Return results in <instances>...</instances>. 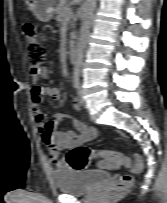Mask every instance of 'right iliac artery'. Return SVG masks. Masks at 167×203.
<instances>
[{"mask_svg":"<svg viewBox=\"0 0 167 203\" xmlns=\"http://www.w3.org/2000/svg\"><path fill=\"white\" fill-rule=\"evenodd\" d=\"M73 84H74V87L76 88V89H78L79 88V78H78V76H74V78H73Z\"/></svg>","mask_w":167,"mask_h":203,"instance_id":"obj_1","label":"right iliac artery"}]
</instances>
